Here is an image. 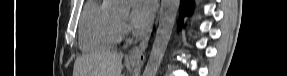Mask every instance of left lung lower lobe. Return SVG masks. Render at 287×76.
Wrapping results in <instances>:
<instances>
[{"instance_id":"1","label":"left lung lower lobe","mask_w":287,"mask_h":76,"mask_svg":"<svg viewBox=\"0 0 287 76\" xmlns=\"http://www.w3.org/2000/svg\"><path fill=\"white\" fill-rule=\"evenodd\" d=\"M192 2L191 0H181V5H180V16L181 20L185 15L190 14L192 11Z\"/></svg>"}]
</instances>
